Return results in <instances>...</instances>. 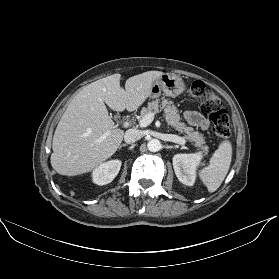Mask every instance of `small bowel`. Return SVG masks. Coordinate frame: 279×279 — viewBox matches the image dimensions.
I'll list each match as a JSON object with an SVG mask.
<instances>
[{
	"instance_id": "small-bowel-1",
	"label": "small bowel",
	"mask_w": 279,
	"mask_h": 279,
	"mask_svg": "<svg viewBox=\"0 0 279 279\" xmlns=\"http://www.w3.org/2000/svg\"><path fill=\"white\" fill-rule=\"evenodd\" d=\"M185 118L191 125L200 127L203 130H206L209 126L208 120L196 111H187Z\"/></svg>"
}]
</instances>
